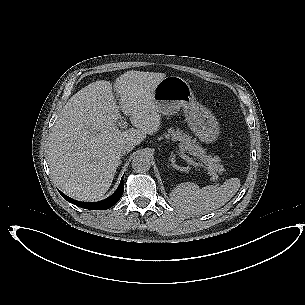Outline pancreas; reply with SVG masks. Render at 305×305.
Returning <instances> with one entry per match:
<instances>
[{"label": "pancreas", "instance_id": "obj_1", "mask_svg": "<svg viewBox=\"0 0 305 305\" xmlns=\"http://www.w3.org/2000/svg\"><path fill=\"white\" fill-rule=\"evenodd\" d=\"M169 134L173 141L179 142L178 147L181 152H186L194 156L195 159L202 161L212 176H216L217 173L224 171L220 158L207 154L206 150L202 148L187 132L171 128L169 129Z\"/></svg>", "mask_w": 305, "mask_h": 305}]
</instances>
